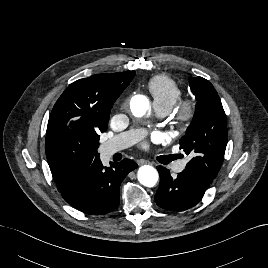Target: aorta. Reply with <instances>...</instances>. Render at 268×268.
<instances>
[{
	"label": "aorta",
	"instance_id": "1",
	"mask_svg": "<svg viewBox=\"0 0 268 268\" xmlns=\"http://www.w3.org/2000/svg\"><path fill=\"white\" fill-rule=\"evenodd\" d=\"M131 112L135 117H145L151 113L149 99L144 95H135L130 101ZM138 181L146 187H154L159 180L157 170L150 165H143L137 173Z\"/></svg>",
	"mask_w": 268,
	"mask_h": 268
}]
</instances>
